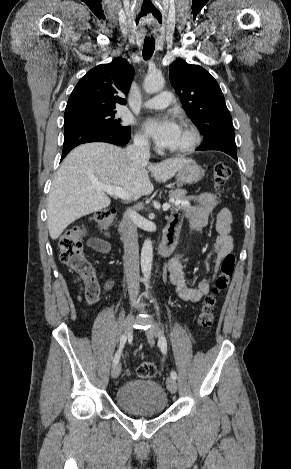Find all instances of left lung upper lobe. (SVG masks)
Segmentation results:
<instances>
[{
	"mask_svg": "<svg viewBox=\"0 0 291 469\" xmlns=\"http://www.w3.org/2000/svg\"><path fill=\"white\" fill-rule=\"evenodd\" d=\"M170 81L189 118L203 132L204 145L221 140L235 142L232 118L224 96L208 71L178 58L170 67Z\"/></svg>",
	"mask_w": 291,
	"mask_h": 469,
	"instance_id": "obj_1",
	"label": "left lung upper lobe"
}]
</instances>
